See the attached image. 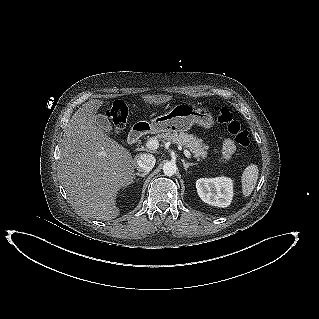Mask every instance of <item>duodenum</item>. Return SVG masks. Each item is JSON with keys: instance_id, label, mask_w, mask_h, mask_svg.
Returning a JSON list of instances; mask_svg holds the SVG:
<instances>
[{"instance_id": "1", "label": "duodenum", "mask_w": 319, "mask_h": 319, "mask_svg": "<svg viewBox=\"0 0 319 319\" xmlns=\"http://www.w3.org/2000/svg\"><path fill=\"white\" fill-rule=\"evenodd\" d=\"M150 130L148 124L142 123L135 125L128 134L127 142L129 145L135 144L145 133Z\"/></svg>"}]
</instances>
